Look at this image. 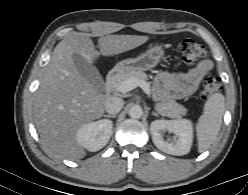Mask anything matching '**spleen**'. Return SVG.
<instances>
[{"label": "spleen", "instance_id": "spleen-1", "mask_svg": "<svg viewBox=\"0 0 248 195\" xmlns=\"http://www.w3.org/2000/svg\"><path fill=\"white\" fill-rule=\"evenodd\" d=\"M225 111V98L221 93L213 94L204 105V112L200 116L196 133L198 140V151L204 152L215 142Z\"/></svg>", "mask_w": 248, "mask_h": 195}]
</instances>
